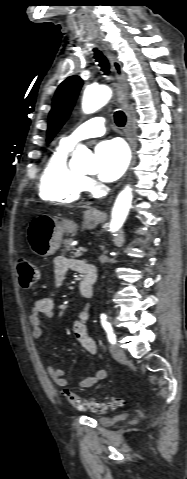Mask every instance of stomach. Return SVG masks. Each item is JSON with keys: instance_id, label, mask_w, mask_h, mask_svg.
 Wrapping results in <instances>:
<instances>
[{"instance_id": "obj_1", "label": "stomach", "mask_w": 187, "mask_h": 479, "mask_svg": "<svg viewBox=\"0 0 187 479\" xmlns=\"http://www.w3.org/2000/svg\"><path fill=\"white\" fill-rule=\"evenodd\" d=\"M99 222V215L92 210L84 214L82 227L93 229ZM78 225L69 220L61 222L48 214L35 217L27 227V240L32 251L42 257L54 254L60 247L65 232L75 234Z\"/></svg>"}]
</instances>
